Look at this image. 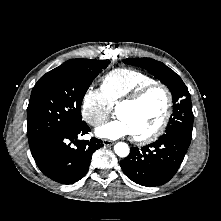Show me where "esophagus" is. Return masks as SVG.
Returning a JSON list of instances; mask_svg holds the SVG:
<instances>
[{"label": "esophagus", "instance_id": "1", "mask_svg": "<svg viewBox=\"0 0 221 221\" xmlns=\"http://www.w3.org/2000/svg\"><path fill=\"white\" fill-rule=\"evenodd\" d=\"M102 143H103L104 146H111V145L114 144L113 141L108 140V139H104V140L102 141Z\"/></svg>", "mask_w": 221, "mask_h": 221}]
</instances>
